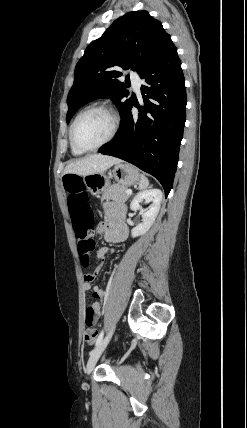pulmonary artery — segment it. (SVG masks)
<instances>
[{
	"label": "pulmonary artery",
	"instance_id": "pulmonary-artery-1",
	"mask_svg": "<svg viewBox=\"0 0 247 428\" xmlns=\"http://www.w3.org/2000/svg\"><path fill=\"white\" fill-rule=\"evenodd\" d=\"M130 78L132 80V83L134 85V88L136 89V91H139L140 85H141V80L139 78V76L136 73H131L130 74Z\"/></svg>",
	"mask_w": 247,
	"mask_h": 428
}]
</instances>
